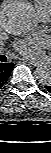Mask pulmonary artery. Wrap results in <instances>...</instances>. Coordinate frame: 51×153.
I'll list each match as a JSON object with an SVG mask.
<instances>
[{
  "label": "pulmonary artery",
  "mask_w": 51,
  "mask_h": 153,
  "mask_svg": "<svg viewBox=\"0 0 51 153\" xmlns=\"http://www.w3.org/2000/svg\"><path fill=\"white\" fill-rule=\"evenodd\" d=\"M40 18H41V20L46 21V20H48L49 15L48 14H45L43 16H40Z\"/></svg>",
  "instance_id": "e3ab8cb5"
}]
</instances>
